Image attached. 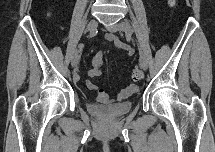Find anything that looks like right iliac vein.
Returning <instances> with one entry per match:
<instances>
[{"instance_id": "obj_1", "label": "right iliac vein", "mask_w": 215, "mask_h": 152, "mask_svg": "<svg viewBox=\"0 0 215 152\" xmlns=\"http://www.w3.org/2000/svg\"><path fill=\"white\" fill-rule=\"evenodd\" d=\"M97 26H98V23L96 20H90L87 25V30L92 32V31L96 30ZM79 60H80L79 50H76L71 59V66L76 67L77 64L79 63Z\"/></svg>"}]
</instances>
